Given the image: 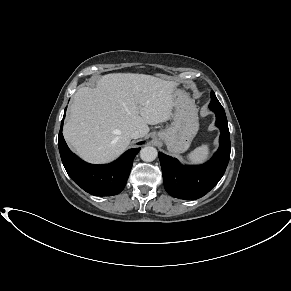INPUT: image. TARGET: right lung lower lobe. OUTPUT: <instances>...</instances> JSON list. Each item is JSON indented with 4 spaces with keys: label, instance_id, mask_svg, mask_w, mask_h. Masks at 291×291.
<instances>
[{
    "label": "right lung lower lobe",
    "instance_id": "right-lung-lower-lobe-1",
    "mask_svg": "<svg viewBox=\"0 0 291 291\" xmlns=\"http://www.w3.org/2000/svg\"><path fill=\"white\" fill-rule=\"evenodd\" d=\"M62 127L63 120L58 137V147L63 165L72 180L91 195L112 196L120 193L126 185L133 160L140 148L128 150L118 160L110 164H88L68 148L63 138Z\"/></svg>",
    "mask_w": 291,
    "mask_h": 291
}]
</instances>
